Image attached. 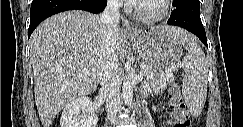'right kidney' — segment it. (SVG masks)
Segmentation results:
<instances>
[{
  "label": "right kidney",
  "instance_id": "ca27d5eb",
  "mask_svg": "<svg viewBox=\"0 0 243 127\" xmlns=\"http://www.w3.org/2000/svg\"><path fill=\"white\" fill-rule=\"evenodd\" d=\"M91 105L92 101L86 96L66 104L60 119L61 127H96L98 117L91 113Z\"/></svg>",
  "mask_w": 243,
  "mask_h": 127
}]
</instances>
